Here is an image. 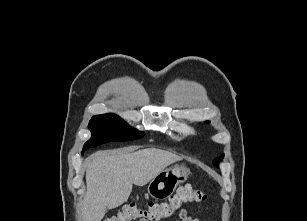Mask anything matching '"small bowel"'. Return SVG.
Masks as SVG:
<instances>
[{"label":"small bowel","instance_id":"obj_1","mask_svg":"<svg viewBox=\"0 0 307 221\" xmlns=\"http://www.w3.org/2000/svg\"><path fill=\"white\" fill-rule=\"evenodd\" d=\"M178 216L180 221H200L198 217L189 215L186 209H181Z\"/></svg>","mask_w":307,"mask_h":221}]
</instances>
